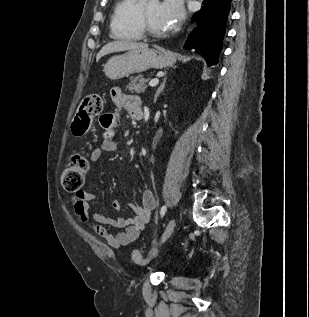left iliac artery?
I'll use <instances>...</instances> for the list:
<instances>
[{
  "mask_svg": "<svg viewBox=\"0 0 309 317\" xmlns=\"http://www.w3.org/2000/svg\"><path fill=\"white\" fill-rule=\"evenodd\" d=\"M166 210H167V206H166V205H164V206L161 207V210H160V215H161V217L164 216Z\"/></svg>",
  "mask_w": 309,
  "mask_h": 317,
  "instance_id": "obj_1",
  "label": "left iliac artery"
}]
</instances>
